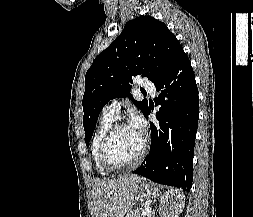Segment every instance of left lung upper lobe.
Masks as SVG:
<instances>
[{
	"mask_svg": "<svg viewBox=\"0 0 253 217\" xmlns=\"http://www.w3.org/2000/svg\"><path fill=\"white\" fill-rule=\"evenodd\" d=\"M183 52L179 41L164 23L151 16L129 21L86 73L83 96L86 145H89L102 108L111 99L127 96L145 115L147 100L137 102L129 94L133 77L141 75L156 83Z\"/></svg>",
	"mask_w": 253,
	"mask_h": 217,
	"instance_id": "5c2ea615",
	"label": "left lung upper lobe"
}]
</instances>
